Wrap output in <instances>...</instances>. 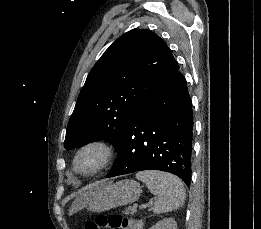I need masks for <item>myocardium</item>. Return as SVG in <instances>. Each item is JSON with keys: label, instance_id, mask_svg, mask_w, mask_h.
Wrapping results in <instances>:
<instances>
[{"label": "myocardium", "instance_id": "myocardium-1", "mask_svg": "<svg viewBox=\"0 0 261 229\" xmlns=\"http://www.w3.org/2000/svg\"><path fill=\"white\" fill-rule=\"evenodd\" d=\"M89 153H95L98 156V162L94 167L87 169L81 165V159ZM112 157L113 150L109 143L101 139H93L84 142L76 149L72 165L77 173L92 176L105 169L111 162Z\"/></svg>", "mask_w": 261, "mask_h": 229}]
</instances>
